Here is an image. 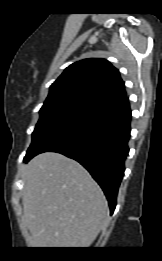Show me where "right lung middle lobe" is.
I'll use <instances>...</instances> for the list:
<instances>
[{
  "label": "right lung middle lobe",
  "instance_id": "right-lung-middle-lobe-1",
  "mask_svg": "<svg viewBox=\"0 0 162 261\" xmlns=\"http://www.w3.org/2000/svg\"><path fill=\"white\" fill-rule=\"evenodd\" d=\"M102 105L100 101L80 92L49 95L40 109V119L27 154L32 153L46 137L60 127Z\"/></svg>",
  "mask_w": 162,
  "mask_h": 261
}]
</instances>
